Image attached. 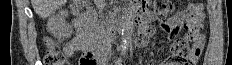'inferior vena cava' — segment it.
I'll return each mask as SVG.
<instances>
[{"label": "inferior vena cava", "mask_w": 232, "mask_h": 65, "mask_svg": "<svg viewBox=\"0 0 232 65\" xmlns=\"http://www.w3.org/2000/svg\"><path fill=\"white\" fill-rule=\"evenodd\" d=\"M95 4L97 6L98 9V13L100 16V28H101V35L103 37V46L106 50V52L109 54V52H111V41L109 40V37L107 35V32L105 30V22L102 20L103 19V10L105 7V0H95Z\"/></svg>", "instance_id": "1"}]
</instances>
